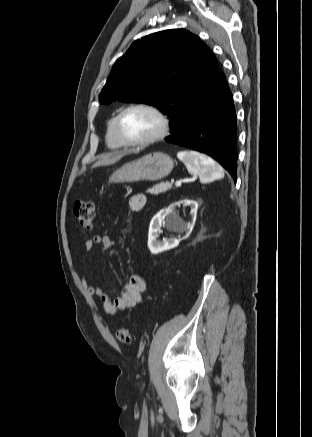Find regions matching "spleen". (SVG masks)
I'll list each match as a JSON object with an SVG mask.
<instances>
[{
    "label": "spleen",
    "instance_id": "1",
    "mask_svg": "<svg viewBox=\"0 0 312 437\" xmlns=\"http://www.w3.org/2000/svg\"><path fill=\"white\" fill-rule=\"evenodd\" d=\"M177 157L185 164L188 172L199 176L201 182H211L224 177L222 167L212 158L196 151H180Z\"/></svg>",
    "mask_w": 312,
    "mask_h": 437
}]
</instances>
